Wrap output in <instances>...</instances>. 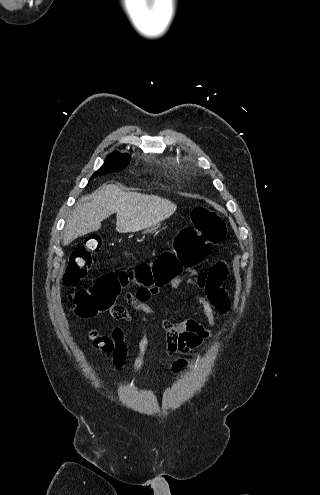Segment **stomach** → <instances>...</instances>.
Instances as JSON below:
<instances>
[{
	"mask_svg": "<svg viewBox=\"0 0 320 495\" xmlns=\"http://www.w3.org/2000/svg\"><path fill=\"white\" fill-rule=\"evenodd\" d=\"M159 227H160V223H157V224H155V225H152V227H148V228H146V230H145L143 233H144V234H148V233L154 232V231H156Z\"/></svg>",
	"mask_w": 320,
	"mask_h": 495,
	"instance_id": "obj_1",
	"label": "stomach"
}]
</instances>
